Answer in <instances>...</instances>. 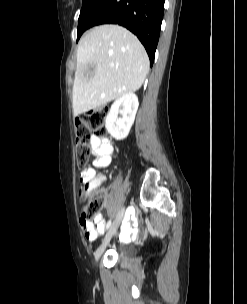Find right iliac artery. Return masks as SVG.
Listing matches in <instances>:
<instances>
[{
  "label": "right iliac artery",
  "instance_id": "1",
  "mask_svg": "<svg viewBox=\"0 0 247 304\" xmlns=\"http://www.w3.org/2000/svg\"><path fill=\"white\" fill-rule=\"evenodd\" d=\"M110 226H111V220H109V221L107 222L106 228L109 229Z\"/></svg>",
  "mask_w": 247,
  "mask_h": 304
}]
</instances>
